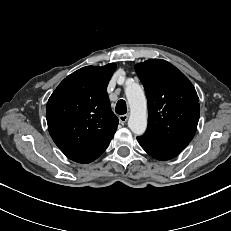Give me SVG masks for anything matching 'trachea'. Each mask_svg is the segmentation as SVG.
<instances>
[{
	"instance_id": "3493384b",
	"label": "trachea",
	"mask_w": 231,
	"mask_h": 231,
	"mask_svg": "<svg viewBox=\"0 0 231 231\" xmlns=\"http://www.w3.org/2000/svg\"><path fill=\"white\" fill-rule=\"evenodd\" d=\"M115 112L119 115H123L127 112L126 102L124 100H119L115 107Z\"/></svg>"
}]
</instances>
